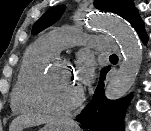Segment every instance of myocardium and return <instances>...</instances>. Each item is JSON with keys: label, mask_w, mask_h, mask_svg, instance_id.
Instances as JSON below:
<instances>
[{"label": "myocardium", "mask_w": 151, "mask_h": 131, "mask_svg": "<svg viewBox=\"0 0 151 131\" xmlns=\"http://www.w3.org/2000/svg\"><path fill=\"white\" fill-rule=\"evenodd\" d=\"M58 64L69 67V62L67 60L58 55H52L46 58L34 69L28 81L27 94L29 100L37 110L49 114H63L70 112L76 109L84 99L83 88L80 89L75 98L60 106L50 105L42 98L40 93V83L48 71Z\"/></svg>", "instance_id": "f54148a6"}]
</instances>
